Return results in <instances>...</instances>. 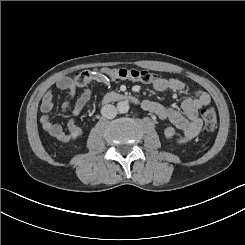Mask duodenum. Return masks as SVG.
I'll return each mask as SVG.
<instances>
[{
	"label": "duodenum",
	"mask_w": 245,
	"mask_h": 245,
	"mask_svg": "<svg viewBox=\"0 0 245 245\" xmlns=\"http://www.w3.org/2000/svg\"><path fill=\"white\" fill-rule=\"evenodd\" d=\"M131 101L134 103H138V99L130 94L119 93V92H111L105 95L103 98V103H110L115 101Z\"/></svg>",
	"instance_id": "duodenum-1"
}]
</instances>
